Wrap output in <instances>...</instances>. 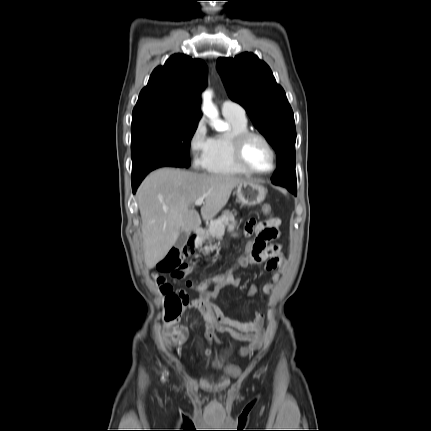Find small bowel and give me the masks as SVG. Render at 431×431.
<instances>
[{"label":"small bowel","instance_id":"small-bowel-1","mask_svg":"<svg viewBox=\"0 0 431 431\" xmlns=\"http://www.w3.org/2000/svg\"><path fill=\"white\" fill-rule=\"evenodd\" d=\"M280 224L281 221L277 218L262 222L249 221L245 233L247 236L254 235L252 256L241 262L242 268L262 266L266 272L275 273L283 261L282 246L276 242L279 237ZM237 259L230 267L224 266L223 271L219 270L212 274L211 278L195 285L188 282V286L199 293V296L190 302L189 307L202 311L206 320V337L210 343L221 344L216 337V332H230L235 338L250 342L248 346L238 350L241 355H247L258 350L262 344L264 336L263 316L256 313L253 322H240L224 316L214 303L224 289L237 287L240 284V278L236 275L239 269L236 266L239 263ZM210 286L212 289L209 290ZM262 290L265 294H270L273 290V283L265 284ZM256 291L257 287L251 286L248 290V296H252ZM202 297L206 298L207 301L204 304L201 303V307L198 308L195 304ZM163 339L168 348L180 349L188 339V329L178 324V320L174 319L163 327ZM203 354L208 356L210 350L206 349Z\"/></svg>","mask_w":431,"mask_h":431}]
</instances>
